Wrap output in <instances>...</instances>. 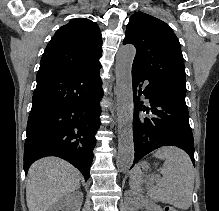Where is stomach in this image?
Here are the masks:
<instances>
[{"label":"stomach","instance_id":"stomach-1","mask_svg":"<svg viewBox=\"0 0 219 211\" xmlns=\"http://www.w3.org/2000/svg\"><path fill=\"white\" fill-rule=\"evenodd\" d=\"M139 166L143 169V170H148L149 165L147 164V162L143 161L139 164Z\"/></svg>","mask_w":219,"mask_h":211}]
</instances>
